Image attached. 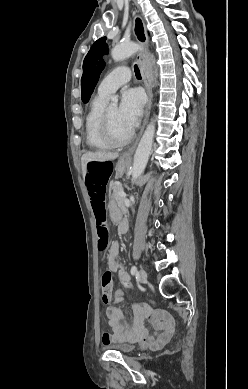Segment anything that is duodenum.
I'll list each match as a JSON object with an SVG mask.
<instances>
[{
	"mask_svg": "<svg viewBox=\"0 0 248 389\" xmlns=\"http://www.w3.org/2000/svg\"><path fill=\"white\" fill-rule=\"evenodd\" d=\"M119 232H120V234H124L126 232L124 224L120 225Z\"/></svg>",
	"mask_w": 248,
	"mask_h": 389,
	"instance_id": "duodenum-1",
	"label": "duodenum"
}]
</instances>
